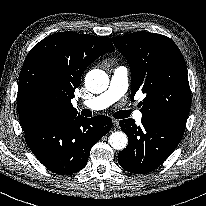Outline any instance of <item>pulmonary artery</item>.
I'll use <instances>...</instances> for the list:
<instances>
[{
  "instance_id": "e3ab8cb5",
  "label": "pulmonary artery",
  "mask_w": 206,
  "mask_h": 206,
  "mask_svg": "<svg viewBox=\"0 0 206 206\" xmlns=\"http://www.w3.org/2000/svg\"><path fill=\"white\" fill-rule=\"evenodd\" d=\"M128 85L127 68L123 66L117 67L113 71L108 89L101 95L82 102L81 105L91 110L108 108L125 95ZM133 117L139 122L142 120V113L135 111L133 112Z\"/></svg>"
}]
</instances>
